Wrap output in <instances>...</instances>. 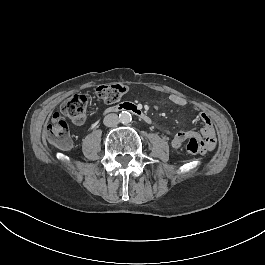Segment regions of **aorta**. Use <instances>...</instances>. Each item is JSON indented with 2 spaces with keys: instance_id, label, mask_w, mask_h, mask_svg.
<instances>
[{
  "instance_id": "762f6f07",
  "label": "aorta",
  "mask_w": 265,
  "mask_h": 265,
  "mask_svg": "<svg viewBox=\"0 0 265 265\" xmlns=\"http://www.w3.org/2000/svg\"><path fill=\"white\" fill-rule=\"evenodd\" d=\"M132 120V116H131V113L128 112V111H122L120 114H119V121L122 123V124H128L130 123Z\"/></svg>"
}]
</instances>
